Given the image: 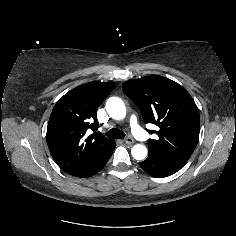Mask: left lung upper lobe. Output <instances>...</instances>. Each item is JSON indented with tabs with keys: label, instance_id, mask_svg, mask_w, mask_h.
Returning a JSON list of instances; mask_svg holds the SVG:
<instances>
[{
	"label": "left lung upper lobe",
	"instance_id": "1",
	"mask_svg": "<svg viewBox=\"0 0 236 236\" xmlns=\"http://www.w3.org/2000/svg\"><path fill=\"white\" fill-rule=\"evenodd\" d=\"M122 89L139 107L144 122L160 128L158 139L147 142L149 154L189 158L200 131L199 110L190 94L178 83L158 75L126 81Z\"/></svg>",
	"mask_w": 236,
	"mask_h": 236
}]
</instances>
